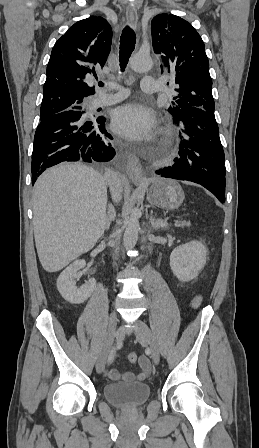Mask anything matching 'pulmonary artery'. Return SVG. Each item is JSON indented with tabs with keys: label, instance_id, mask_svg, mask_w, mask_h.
I'll return each mask as SVG.
<instances>
[{
	"label": "pulmonary artery",
	"instance_id": "e3ab8cb5",
	"mask_svg": "<svg viewBox=\"0 0 259 448\" xmlns=\"http://www.w3.org/2000/svg\"><path fill=\"white\" fill-rule=\"evenodd\" d=\"M138 56V54H134L131 58V62L133 63V60ZM135 70L140 71L139 69H137L135 67ZM104 86L105 87H111V88H120V86L115 83V82H111V81H106L104 82ZM98 96L95 100V104L96 105H100V104H111V103H115L118 101H121L122 99L126 98L128 96V93L124 92V93H118V94H112V95H102V93L100 91L97 92Z\"/></svg>",
	"mask_w": 259,
	"mask_h": 448
}]
</instances>
